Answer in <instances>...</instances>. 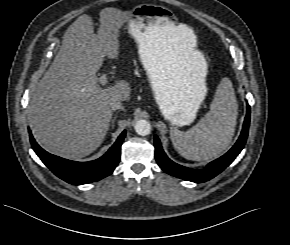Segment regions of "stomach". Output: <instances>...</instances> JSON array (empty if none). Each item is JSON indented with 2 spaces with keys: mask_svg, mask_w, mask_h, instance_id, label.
Instances as JSON below:
<instances>
[{
  "mask_svg": "<svg viewBox=\"0 0 290 245\" xmlns=\"http://www.w3.org/2000/svg\"><path fill=\"white\" fill-rule=\"evenodd\" d=\"M135 9L127 19L128 31L138 45L140 60L152 91L165 118L174 126L192 123L207 94V67L200 53L193 62L180 69L174 60L167 31L176 27L170 15L155 10ZM165 10L164 7H161Z\"/></svg>",
  "mask_w": 290,
  "mask_h": 245,
  "instance_id": "1",
  "label": "stomach"
}]
</instances>
